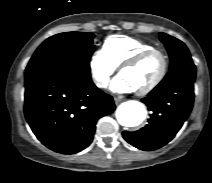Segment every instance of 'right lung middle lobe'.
Listing matches in <instances>:
<instances>
[{"label": "right lung middle lobe", "instance_id": "dd1d6c3e", "mask_svg": "<svg viewBox=\"0 0 212 183\" xmlns=\"http://www.w3.org/2000/svg\"><path fill=\"white\" fill-rule=\"evenodd\" d=\"M94 35L88 32L60 33L46 39L35 51L26 69L68 68L89 71Z\"/></svg>", "mask_w": 212, "mask_h": 183}]
</instances>
